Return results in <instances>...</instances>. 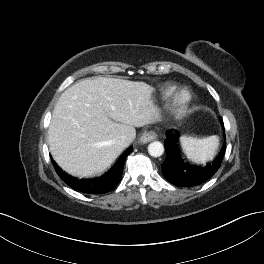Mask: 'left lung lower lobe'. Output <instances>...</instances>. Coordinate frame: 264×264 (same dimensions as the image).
I'll use <instances>...</instances> for the list:
<instances>
[{
	"label": "left lung lower lobe",
	"instance_id": "1",
	"mask_svg": "<svg viewBox=\"0 0 264 264\" xmlns=\"http://www.w3.org/2000/svg\"><path fill=\"white\" fill-rule=\"evenodd\" d=\"M223 126L222 118H219ZM165 140L166 160L161 165L165 178L173 185L192 187L208 180L221 166L225 151L226 141L218 156L206 165H192L185 161L178 149V135L170 130L166 132Z\"/></svg>",
	"mask_w": 264,
	"mask_h": 264
}]
</instances>
